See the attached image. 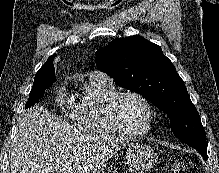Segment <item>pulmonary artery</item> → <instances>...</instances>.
Wrapping results in <instances>:
<instances>
[{
    "instance_id": "obj_1",
    "label": "pulmonary artery",
    "mask_w": 219,
    "mask_h": 173,
    "mask_svg": "<svg viewBox=\"0 0 219 173\" xmlns=\"http://www.w3.org/2000/svg\"><path fill=\"white\" fill-rule=\"evenodd\" d=\"M90 78L101 79V80H110V78L106 74L99 72V71H92L90 73Z\"/></svg>"
}]
</instances>
